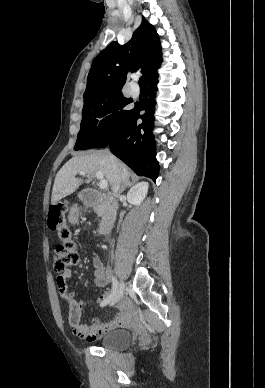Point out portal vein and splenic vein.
<instances>
[{"mask_svg":"<svg viewBox=\"0 0 265 388\" xmlns=\"http://www.w3.org/2000/svg\"><path fill=\"white\" fill-rule=\"evenodd\" d=\"M79 174H81V176H84L85 172H79ZM95 176L97 180H100L99 188H101V190H104V188H108V182L107 180H104V176L103 174H101V172H96Z\"/></svg>","mask_w":265,"mask_h":388,"instance_id":"18ae733b","label":"portal vein and splenic vein"}]
</instances>
